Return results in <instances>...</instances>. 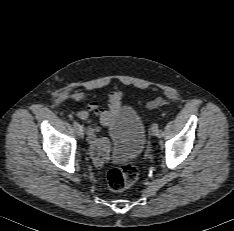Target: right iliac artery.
Returning <instances> with one entry per match:
<instances>
[{
    "label": "right iliac artery",
    "instance_id": "1",
    "mask_svg": "<svg viewBox=\"0 0 234 231\" xmlns=\"http://www.w3.org/2000/svg\"><path fill=\"white\" fill-rule=\"evenodd\" d=\"M73 126H74V128H75V130L78 132L79 131V129H80V124L77 122V121H73Z\"/></svg>",
    "mask_w": 234,
    "mask_h": 231
}]
</instances>
